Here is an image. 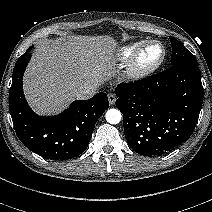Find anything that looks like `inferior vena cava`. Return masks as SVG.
<instances>
[{
	"mask_svg": "<svg viewBox=\"0 0 212 212\" xmlns=\"http://www.w3.org/2000/svg\"><path fill=\"white\" fill-rule=\"evenodd\" d=\"M96 89V84H85L75 90V96L80 100H86L95 95Z\"/></svg>",
	"mask_w": 212,
	"mask_h": 212,
	"instance_id": "602c4592",
	"label": "inferior vena cava"
}]
</instances>
